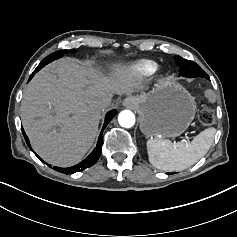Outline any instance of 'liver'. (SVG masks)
Listing matches in <instances>:
<instances>
[{
	"label": "liver",
	"mask_w": 237,
	"mask_h": 237,
	"mask_svg": "<svg viewBox=\"0 0 237 237\" xmlns=\"http://www.w3.org/2000/svg\"><path fill=\"white\" fill-rule=\"evenodd\" d=\"M136 83L125 75L106 77L90 62L60 59L40 70L21 101V120L34 151L47 163H79L97 136L99 101L131 94Z\"/></svg>",
	"instance_id": "obj_1"
}]
</instances>
